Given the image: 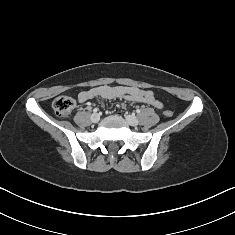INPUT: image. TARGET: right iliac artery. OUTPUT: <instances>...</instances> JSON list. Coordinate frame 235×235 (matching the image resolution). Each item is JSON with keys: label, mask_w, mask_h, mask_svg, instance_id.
I'll use <instances>...</instances> for the list:
<instances>
[{"label": "right iliac artery", "mask_w": 235, "mask_h": 235, "mask_svg": "<svg viewBox=\"0 0 235 235\" xmlns=\"http://www.w3.org/2000/svg\"><path fill=\"white\" fill-rule=\"evenodd\" d=\"M97 111H98V108H95V109L93 110L94 113H96Z\"/></svg>", "instance_id": "82829eb1"}]
</instances>
